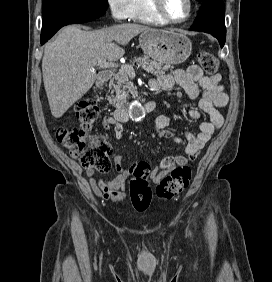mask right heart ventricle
Instances as JSON below:
<instances>
[{
	"label": "right heart ventricle",
	"mask_w": 272,
	"mask_h": 282,
	"mask_svg": "<svg viewBox=\"0 0 272 282\" xmlns=\"http://www.w3.org/2000/svg\"><path fill=\"white\" fill-rule=\"evenodd\" d=\"M136 5L137 13L131 19L153 25H165L168 23L151 8L150 0H136Z\"/></svg>",
	"instance_id": "right-heart-ventricle-1"
}]
</instances>
